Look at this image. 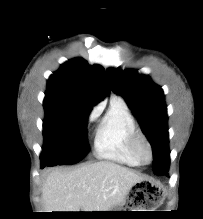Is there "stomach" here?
<instances>
[{"instance_id":"obj_1","label":"stomach","mask_w":203,"mask_h":219,"mask_svg":"<svg viewBox=\"0 0 203 219\" xmlns=\"http://www.w3.org/2000/svg\"><path fill=\"white\" fill-rule=\"evenodd\" d=\"M135 187V194H133L130 199H127V201L125 200L121 205L115 206L112 210L109 211H126L122 210L126 208L140 209L129 211H155L146 209H156L162 204L163 194L160 186L152 182H139ZM107 215L117 216L120 214L118 212H112Z\"/></svg>"}]
</instances>
